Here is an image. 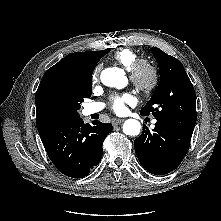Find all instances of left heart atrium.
<instances>
[{
	"mask_svg": "<svg viewBox=\"0 0 221 221\" xmlns=\"http://www.w3.org/2000/svg\"><path fill=\"white\" fill-rule=\"evenodd\" d=\"M135 99L130 94H124L122 96H115L112 98V110L119 115H122L127 110V105H132Z\"/></svg>",
	"mask_w": 221,
	"mask_h": 221,
	"instance_id": "39dd6f15",
	"label": "left heart atrium"
}]
</instances>
